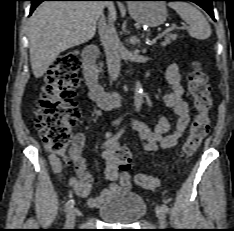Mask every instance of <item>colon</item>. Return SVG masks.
I'll return each instance as SVG.
<instances>
[{
	"label": "colon",
	"instance_id": "colon-1",
	"mask_svg": "<svg viewBox=\"0 0 234 231\" xmlns=\"http://www.w3.org/2000/svg\"><path fill=\"white\" fill-rule=\"evenodd\" d=\"M82 65L80 50L71 49L58 56L45 75V83L35 107V125L42 140L56 155H63L72 142V127L80 117V110L74 101L79 85L78 71ZM188 87L195 108L188 137L183 146V155L191 157L207 136L211 118L212 98L205 73L197 66L188 76ZM120 170L126 173L132 164V153L122 147L117 151ZM136 185L154 189L159 185L156 176L143 173L134 176Z\"/></svg>",
	"mask_w": 234,
	"mask_h": 231
}]
</instances>
